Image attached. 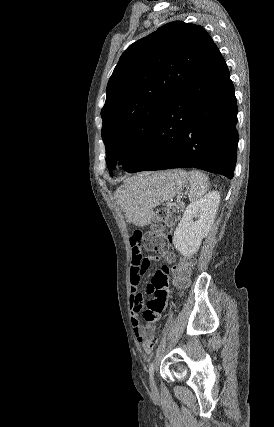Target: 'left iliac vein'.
<instances>
[{"label":"left iliac vein","instance_id":"left-iliac-vein-1","mask_svg":"<svg viewBox=\"0 0 274 427\" xmlns=\"http://www.w3.org/2000/svg\"><path fill=\"white\" fill-rule=\"evenodd\" d=\"M150 386L152 390L155 388V380L153 378L150 379Z\"/></svg>","mask_w":274,"mask_h":427}]
</instances>
